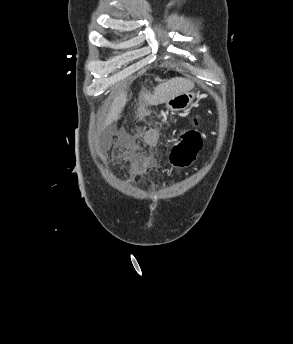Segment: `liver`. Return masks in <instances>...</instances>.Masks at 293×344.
<instances>
[{"label": "liver", "mask_w": 293, "mask_h": 344, "mask_svg": "<svg viewBox=\"0 0 293 344\" xmlns=\"http://www.w3.org/2000/svg\"><path fill=\"white\" fill-rule=\"evenodd\" d=\"M194 84L185 78L176 77L164 83L159 84L154 88L153 93L147 92L143 94V99L152 105H158L167 102L179 94L189 92L193 89ZM127 103V95L124 91L119 90L115 95L111 104V108L105 120V125L108 126L116 121Z\"/></svg>", "instance_id": "liver-1"}]
</instances>
